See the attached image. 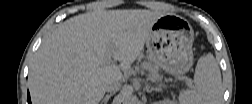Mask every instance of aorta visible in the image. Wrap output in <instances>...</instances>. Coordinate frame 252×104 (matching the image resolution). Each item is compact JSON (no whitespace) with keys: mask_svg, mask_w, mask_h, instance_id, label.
I'll return each mask as SVG.
<instances>
[{"mask_svg":"<svg viewBox=\"0 0 252 104\" xmlns=\"http://www.w3.org/2000/svg\"><path fill=\"white\" fill-rule=\"evenodd\" d=\"M123 102L125 104H131V103H134V97H132L130 94H125L123 96Z\"/></svg>","mask_w":252,"mask_h":104,"instance_id":"aorta-1","label":"aorta"}]
</instances>
